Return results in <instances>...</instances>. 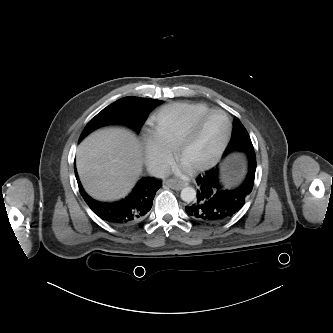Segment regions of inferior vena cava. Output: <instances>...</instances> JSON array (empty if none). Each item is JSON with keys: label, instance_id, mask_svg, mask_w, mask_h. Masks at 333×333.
<instances>
[{"label": "inferior vena cava", "instance_id": "602c4592", "mask_svg": "<svg viewBox=\"0 0 333 333\" xmlns=\"http://www.w3.org/2000/svg\"><path fill=\"white\" fill-rule=\"evenodd\" d=\"M149 174L157 178H166L170 174V169L166 165H153L149 168Z\"/></svg>", "mask_w": 333, "mask_h": 333}]
</instances>
